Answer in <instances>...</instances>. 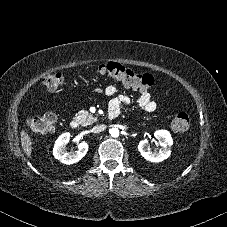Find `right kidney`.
<instances>
[{
  "label": "right kidney",
  "mask_w": 227,
  "mask_h": 227,
  "mask_svg": "<svg viewBox=\"0 0 227 227\" xmlns=\"http://www.w3.org/2000/svg\"><path fill=\"white\" fill-rule=\"evenodd\" d=\"M70 140V133H64L58 137L53 148V155L64 164H74L80 161L88 151V144L81 142L78 144V150L72 153L67 152L66 145Z\"/></svg>",
  "instance_id": "ca27d5eb"
}]
</instances>
